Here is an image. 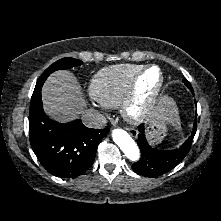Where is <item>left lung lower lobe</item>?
Masks as SVG:
<instances>
[{
	"mask_svg": "<svg viewBox=\"0 0 221 221\" xmlns=\"http://www.w3.org/2000/svg\"><path fill=\"white\" fill-rule=\"evenodd\" d=\"M139 134L137 144L140 149V159L132 165L133 170L145 177H156L163 175L175 168L190 150L194 135L196 133V120L190 137L177 149L157 150L152 148L144 134V125L138 127Z\"/></svg>",
	"mask_w": 221,
	"mask_h": 221,
	"instance_id": "0a47b994",
	"label": "left lung lower lobe"
}]
</instances>
